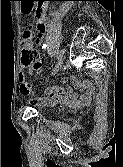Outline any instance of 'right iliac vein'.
I'll return each mask as SVG.
<instances>
[{"label": "right iliac vein", "instance_id": "1", "mask_svg": "<svg viewBox=\"0 0 123 167\" xmlns=\"http://www.w3.org/2000/svg\"><path fill=\"white\" fill-rule=\"evenodd\" d=\"M63 54L64 52L62 53L61 57L59 58L57 64L55 65L54 69H53V74H55L62 66L63 64Z\"/></svg>", "mask_w": 123, "mask_h": 167}]
</instances>
